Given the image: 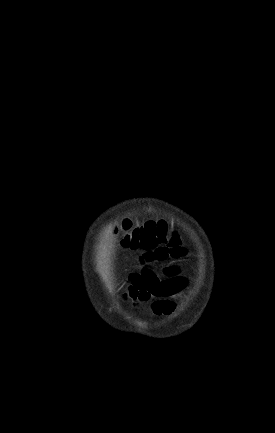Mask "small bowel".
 Masks as SVG:
<instances>
[{
    "label": "small bowel",
    "mask_w": 275,
    "mask_h": 433,
    "mask_svg": "<svg viewBox=\"0 0 275 433\" xmlns=\"http://www.w3.org/2000/svg\"><path fill=\"white\" fill-rule=\"evenodd\" d=\"M166 250L155 249L140 258L141 268L129 275L126 297L135 303H151L155 314L170 315L175 309L174 299L187 287L188 281L180 275L176 266H165L160 272L149 267L154 261L163 260Z\"/></svg>",
    "instance_id": "obj_1"
}]
</instances>
